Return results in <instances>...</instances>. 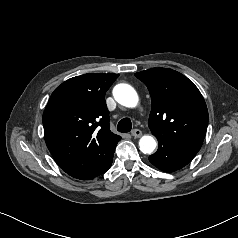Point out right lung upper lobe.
Listing matches in <instances>:
<instances>
[{"label": "right lung upper lobe", "mask_w": 238, "mask_h": 238, "mask_svg": "<svg viewBox=\"0 0 238 238\" xmlns=\"http://www.w3.org/2000/svg\"><path fill=\"white\" fill-rule=\"evenodd\" d=\"M119 74L89 73L68 79L43 113L46 145L70 176L88 180L103 172L121 137L109 129L106 91Z\"/></svg>", "instance_id": "right-lung-upper-lobe-1"}]
</instances>
